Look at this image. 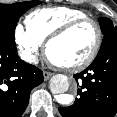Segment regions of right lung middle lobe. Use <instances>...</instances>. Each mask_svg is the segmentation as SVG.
Masks as SVG:
<instances>
[{"instance_id":"dd1d6c3e","label":"right lung middle lobe","mask_w":117,"mask_h":117,"mask_svg":"<svg viewBox=\"0 0 117 117\" xmlns=\"http://www.w3.org/2000/svg\"><path fill=\"white\" fill-rule=\"evenodd\" d=\"M40 1L0 4V35L14 40L15 27L18 19L30 8L40 4Z\"/></svg>"}]
</instances>
